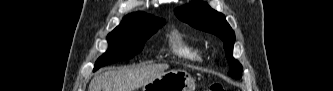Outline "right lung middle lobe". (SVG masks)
Returning a JSON list of instances; mask_svg holds the SVG:
<instances>
[{"label":"right lung middle lobe","instance_id":"dd1d6c3e","mask_svg":"<svg viewBox=\"0 0 333 91\" xmlns=\"http://www.w3.org/2000/svg\"><path fill=\"white\" fill-rule=\"evenodd\" d=\"M165 24L163 19L120 24L108 34V50L96 61L94 71L102 66L128 60L140 53L147 39Z\"/></svg>","mask_w":333,"mask_h":91}]
</instances>
